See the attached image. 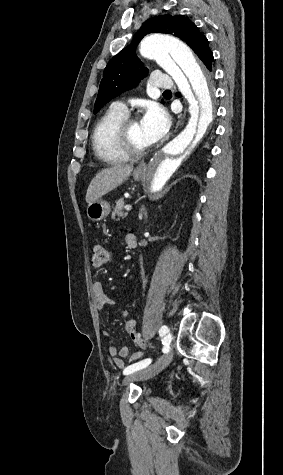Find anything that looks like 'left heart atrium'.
Listing matches in <instances>:
<instances>
[{"label": "left heart atrium", "mask_w": 283, "mask_h": 475, "mask_svg": "<svg viewBox=\"0 0 283 475\" xmlns=\"http://www.w3.org/2000/svg\"><path fill=\"white\" fill-rule=\"evenodd\" d=\"M141 124L145 137L155 143L165 137L170 127V118L161 106L150 104L144 112Z\"/></svg>", "instance_id": "39dd6f15"}]
</instances>
